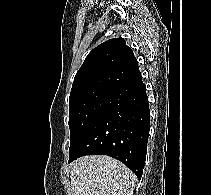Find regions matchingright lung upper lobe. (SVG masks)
<instances>
[{
	"label": "right lung upper lobe",
	"mask_w": 211,
	"mask_h": 195,
	"mask_svg": "<svg viewBox=\"0 0 211 195\" xmlns=\"http://www.w3.org/2000/svg\"><path fill=\"white\" fill-rule=\"evenodd\" d=\"M138 62L123 38H114L94 48L75 75L70 96L106 89L114 91L141 79Z\"/></svg>",
	"instance_id": "1"
}]
</instances>
